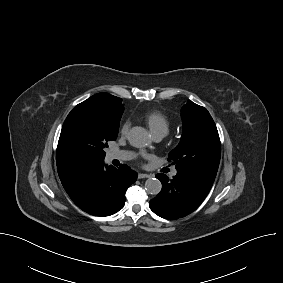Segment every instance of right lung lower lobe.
<instances>
[{
  "label": "right lung lower lobe",
  "mask_w": 283,
  "mask_h": 283,
  "mask_svg": "<svg viewBox=\"0 0 283 283\" xmlns=\"http://www.w3.org/2000/svg\"><path fill=\"white\" fill-rule=\"evenodd\" d=\"M137 173L128 166L116 169L104 162L75 168L61 179L72 201L95 216H109L125 204V192L136 181Z\"/></svg>",
  "instance_id": "right-lung-lower-lobe-1"
}]
</instances>
